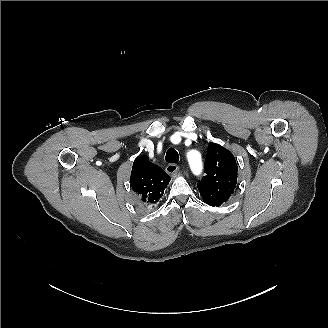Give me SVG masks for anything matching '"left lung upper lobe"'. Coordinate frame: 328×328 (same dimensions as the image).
Wrapping results in <instances>:
<instances>
[{"instance_id":"left-lung-upper-lobe-1","label":"left lung upper lobe","mask_w":328,"mask_h":328,"mask_svg":"<svg viewBox=\"0 0 328 328\" xmlns=\"http://www.w3.org/2000/svg\"><path fill=\"white\" fill-rule=\"evenodd\" d=\"M205 176L198 183V190L205 203L220 206L234 193L237 183V164L226 148L210 143L205 159Z\"/></svg>"}]
</instances>
